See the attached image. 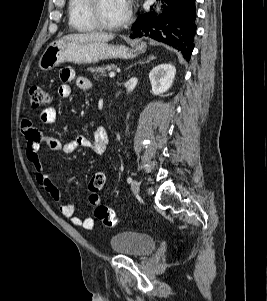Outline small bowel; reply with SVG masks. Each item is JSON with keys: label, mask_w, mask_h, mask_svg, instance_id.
I'll use <instances>...</instances> for the list:
<instances>
[{"label": "small bowel", "mask_w": 267, "mask_h": 301, "mask_svg": "<svg viewBox=\"0 0 267 301\" xmlns=\"http://www.w3.org/2000/svg\"><path fill=\"white\" fill-rule=\"evenodd\" d=\"M62 83L58 87V94L61 98H69L72 95V88L69 84L75 80L76 86L81 90H89L92 86L91 81L84 76L76 77L71 68H63L60 71ZM43 124H52L56 120V110L53 107L45 108L40 114ZM21 130L26 141V156L36 173L37 183L45 189L53 200L60 199V192L52 179L45 171L39 156L40 145L45 143L51 150L61 151L65 154L73 153L78 148H89L97 155H103L109 144V136L103 126L97 127L93 132L92 139L85 135H79L68 142H61L58 138L46 136L35 128L29 119L23 120ZM77 205L73 202L62 203L59 207L61 214L68 218L73 225L84 229H91L94 225L92 218L82 219L76 215Z\"/></svg>", "instance_id": "obj_1"}]
</instances>
